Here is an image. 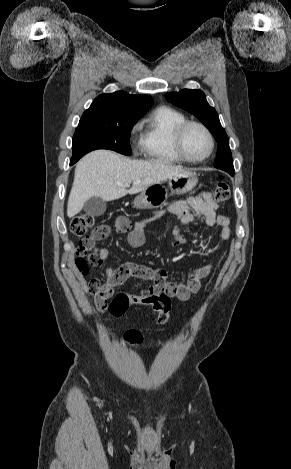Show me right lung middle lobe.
I'll return each instance as SVG.
<instances>
[{"instance_id":"obj_1","label":"right lung middle lobe","mask_w":291,"mask_h":469,"mask_svg":"<svg viewBox=\"0 0 291 469\" xmlns=\"http://www.w3.org/2000/svg\"><path fill=\"white\" fill-rule=\"evenodd\" d=\"M139 118H99L82 116L73 136L70 164L95 149H110L131 155L129 137Z\"/></svg>"}]
</instances>
